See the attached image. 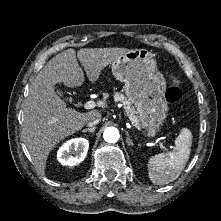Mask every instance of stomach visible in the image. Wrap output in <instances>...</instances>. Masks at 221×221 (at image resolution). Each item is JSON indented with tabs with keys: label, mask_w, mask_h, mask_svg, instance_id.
I'll return each mask as SVG.
<instances>
[{
	"label": "stomach",
	"mask_w": 221,
	"mask_h": 221,
	"mask_svg": "<svg viewBox=\"0 0 221 221\" xmlns=\"http://www.w3.org/2000/svg\"><path fill=\"white\" fill-rule=\"evenodd\" d=\"M111 69L124 83V92L136 107L145 135L155 137L167 117L168 106L163 99L166 81L154 55L147 49H130L111 63Z\"/></svg>",
	"instance_id": "1"
}]
</instances>
